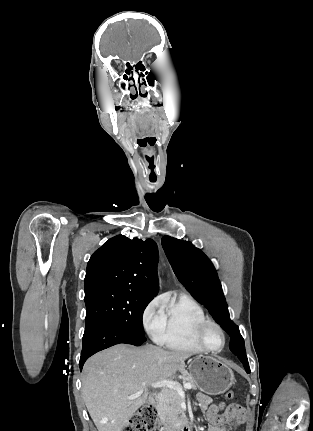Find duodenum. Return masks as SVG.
<instances>
[{
	"instance_id": "obj_1",
	"label": "duodenum",
	"mask_w": 313,
	"mask_h": 431,
	"mask_svg": "<svg viewBox=\"0 0 313 431\" xmlns=\"http://www.w3.org/2000/svg\"><path fill=\"white\" fill-rule=\"evenodd\" d=\"M158 395L153 393L149 397V404L155 406L158 402ZM160 424L163 431H190V423L187 420L179 421L175 424H169L161 419Z\"/></svg>"
}]
</instances>
